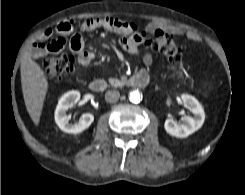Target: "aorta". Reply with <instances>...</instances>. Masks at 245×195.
<instances>
[{"instance_id":"aorta-1","label":"aorta","mask_w":245,"mask_h":195,"mask_svg":"<svg viewBox=\"0 0 245 195\" xmlns=\"http://www.w3.org/2000/svg\"><path fill=\"white\" fill-rule=\"evenodd\" d=\"M130 101L133 103H139L140 102V93L137 90H134L130 93Z\"/></svg>"}]
</instances>
